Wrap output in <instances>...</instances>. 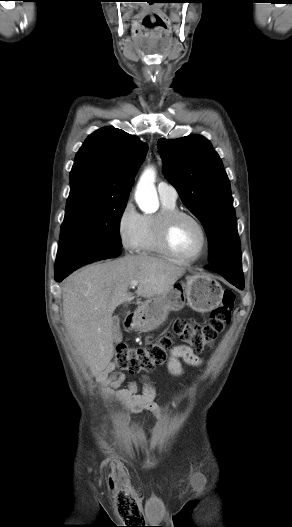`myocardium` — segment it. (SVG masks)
Returning a JSON list of instances; mask_svg holds the SVG:
<instances>
[{
    "instance_id": "f54148a6",
    "label": "myocardium",
    "mask_w": 292,
    "mask_h": 527,
    "mask_svg": "<svg viewBox=\"0 0 292 527\" xmlns=\"http://www.w3.org/2000/svg\"><path fill=\"white\" fill-rule=\"evenodd\" d=\"M188 218L195 222L202 235V245L200 251L193 257H183L179 255L172 247L170 242V232L173 224L179 218ZM155 234L159 247L170 258L181 263H194L200 260L207 252L209 247V238L205 225L193 213L179 209L162 211L156 217Z\"/></svg>"
}]
</instances>
